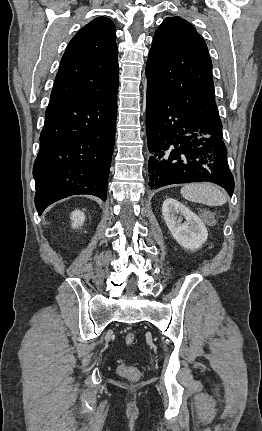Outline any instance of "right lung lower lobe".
<instances>
[{
	"label": "right lung lower lobe",
	"mask_w": 262,
	"mask_h": 431,
	"mask_svg": "<svg viewBox=\"0 0 262 431\" xmlns=\"http://www.w3.org/2000/svg\"><path fill=\"white\" fill-rule=\"evenodd\" d=\"M116 115L117 92L103 100L49 102L33 168L39 215L71 195L106 200Z\"/></svg>",
	"instance_id": "98d812e1"
}]
</instances>
